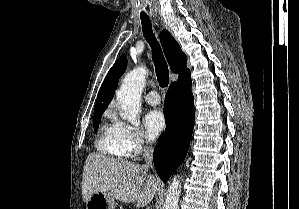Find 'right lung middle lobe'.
Instances as JSON below:
<instances>
[{
  "label": "right lung middle lobe",
  "instance_id": "right-lung-middle-lobe-1",
  "mask_svg": "<svg viewBox=\"0 0 299 209\" xmlns=\"http://www.w3.org/2000/svg\"><path fill=\"white\" fill-rule=\"evenodd\" d=\"M101 115H102V112L101 113H94V129L95 131L98 130V126H99V123H100V120H101Z\"/></svg>",
  "mask_w": 299,
  "mask_h": 209
}]
</instances>
